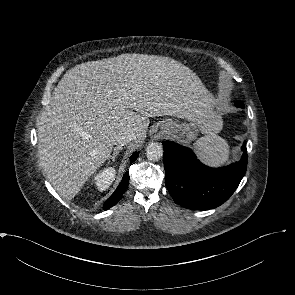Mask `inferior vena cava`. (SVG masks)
Here are the masks:
<instances>
[{"label": "inferior vena cava", "mask_w": 295, "mask_h": 295, "mask_svg": "<svg viewBox=\"0 0 295 295\" xmlns=\"http://www.w3.org/2000/svg\"><path fill=\"white\" fill-rule=\"evenodd\" d=\"M136 134L132 131H127L122 133L121 135H118L114 140V145L124 146L127 143H129L132 140H135Z\"/></svg>", "instance_id": "1"}]
</instances>
